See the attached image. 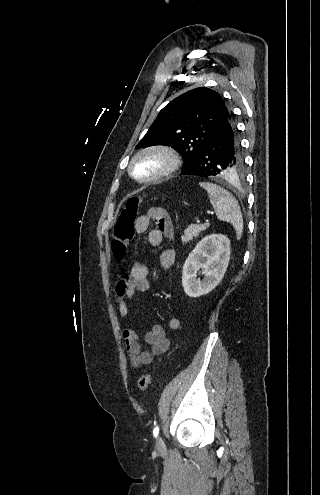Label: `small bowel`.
Wrapping results in <instances>:
<instances>
[{
  "label": "small bowel",
  "instance_id": "obj_1",
  "mask_svg": "<svg viewBox=\"0 0 320 495\" xmlns=\"http://www.w3.org/2000/svg\"><path fill=\"white\" fill-rule=\"evenodd\" d=\"M153 225L156 228L149 230ZM138 233L148 231V242L152 247H159L164 238H173L174 229L169 215L164 209L151 208L141 215L135 222ZM175 253L173 250H164L160 254V265L164 270L173 267ZM149 269L141 262H135L128 273L120 274L116 279V301L122 317L129 313L132 300L139 292L149 287ZM180 318L169 320L168 327L177 330L181 327ZM126 351L131 364L136 367L150 365L155 358L165 354L170 348V340L167 338L164 328L156 323L150 324L149 330L141 337L137 331L129 325L122 330ZM141 342L150 346L149 350H143Z\"/></svg>",
  "mask_w": 320,
  "mask_h": 495
}]
</instances>
